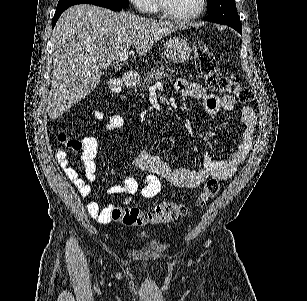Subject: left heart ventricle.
<instances>
[{
	"instance_id": "left-heart-ventricle-1",
	"label": "left heart ventricle",
	"mask_w": 307,
	"mask_h": 301,
	"mask_svg": "<svg viewBox=\"0 0 307 301\" xmlns=\"http://www.w3.org/2000/svg\"><path fill=\"white\" fill-rule=\"evenodd\" d=\"M199 0H165L168 4V13H187L196 11Z\"/></svg>"
}]
</instances>
